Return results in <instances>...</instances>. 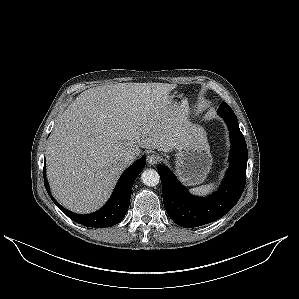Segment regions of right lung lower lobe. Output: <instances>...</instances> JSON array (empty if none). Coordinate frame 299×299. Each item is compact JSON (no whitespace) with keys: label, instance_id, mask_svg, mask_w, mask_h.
Masks as SVG:
<instances>
[{"label":"right lung lower lobe","instance_id":"right-lung-lower-lobe-1","mask_svg":"<svg viewBox=\"0 0 299 299\" xmlns=\"http://www.w3.org/2000/svg\"><path fill=\"white\" fill-rule=\"evenodd\" d=\"M146 163L145 156H142L138 161L133 163L120 177L110 199L108 202L97 212L87 215H79L72 213L62 207L51 195L49 184L46 179V167L44 161V185L45 188L57 205V207L73 221L91 228H105L119 223L125 216L131 197V190L137 175L144 168Z\"/></svg>","mask_w":299,"mask_h":299}]
</instances>
